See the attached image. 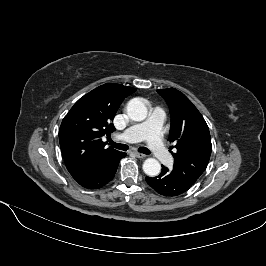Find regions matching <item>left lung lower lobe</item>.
I'll list each match as a JSON object with an SVG mask.
<instances>
[{"label":"left lung lower lobe","instance_id":"obj_1","mask_svg":"<svg viewBox=\"0 0 266 266\" xmlns=\"http://www.w3.org/2000/svg\"><path fill=\"white\" fill-rule=\"evenodd\" d=\"M146 182L156 192L163 196H178L185 193L190 187L170 174L168 169L162 166L161 173L156 177H146Z\"/></svg>","mask_w":266,"mask_h":266}]
</instances>
